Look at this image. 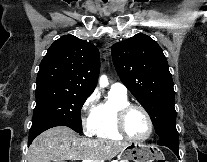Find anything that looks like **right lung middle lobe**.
<instances>
[{
	"instance_id": "obj_1",
	"label": "right lung middle lobe",
	"mask_w": 207,
	"mask_h": 162,
	"mask_svg": "<svg viewBox=\"0 0 207 162\" xmlns=\"http://www.w3.org/2000/svg\"><path fill=\"white\" fill-rule=\"evenodd\" d=\"M88 97V94L55 87L36 89L32 126L52 122L81 133V108Z\"/></svg>"
}]
</instances>
